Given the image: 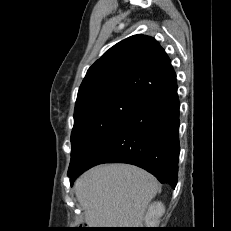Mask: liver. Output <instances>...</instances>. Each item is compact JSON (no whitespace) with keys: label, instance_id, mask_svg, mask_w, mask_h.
Here are the masks:
<instances>
[{"label":"liver","instance_id":"6515ba94","mask_svg":"<svg viewBox=\"0 0 231 231\" xmlns=\"http://www.w3.org/2000/svg\"><path fill=\"white\" fill-rule=\"evenodd\" d=\"M75 195L91 228H139L161 187L154 176L128 164L96 166L75 184Z\"/></svg>","mask_w":231,"mask_h":231}]
</instances>
